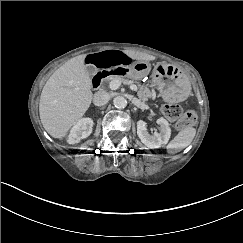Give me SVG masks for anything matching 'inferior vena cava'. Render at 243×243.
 Segmentation results:
<instances>
[{
    "instance_id": "inferior-vena-cava-1",
    "label": "inferior vena cava",
    "mask_w": 243,
    "mask_h": 243,
    "mask_svg": "<svg viewBox=\"0 0 243 243\" xmlns=\"http://www.w3.org/2000/svg\"><path fill=\"white\" fill-rule=\"evenodd\" d=\"M109 98L105 92H96L93 97L95 106H103L108 102Z\"/></svg>"
}]
</instances>
